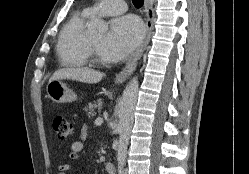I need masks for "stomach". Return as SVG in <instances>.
Here are the masks:
<instances>
[{
  "label": "stomach",
  "instance_id": "0dacf381",
  "mask_svg": "<svg viewBox=\"0 0 249 174\" xmlns=\"http://www.w3.org/2000/svg\"><path fill=\"white\" fill-rule=\"evenodd\" d=\"M48 97L56 103H67L77 100L75 92L61 80L49 81L46 87Z\"/></svg>",
  "mask_w": 249,
  "mask_h": 174
}]
</instances>
